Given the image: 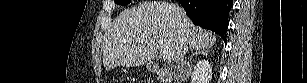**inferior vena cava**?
Wrapping results in <instances>:
<instances>
[{
    "instance_id": "1",
    "label": "inferior vena cava",
    "mask_w": 307,
    "mask_h": 83,
    "mask_svg": "<svg viewBox=\"0 0 307 83\" xmlns=\"http://www.w3.org/2000/svg\"><path fill=\"white\" fill-rule=\"evenodd\" d=\"M186 54V52H185V50H184V52H183V56Z\"/></svg>"
}]
</instances>
